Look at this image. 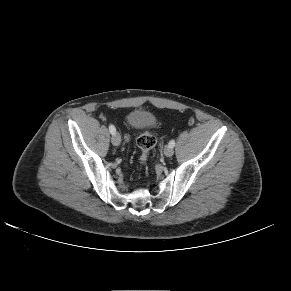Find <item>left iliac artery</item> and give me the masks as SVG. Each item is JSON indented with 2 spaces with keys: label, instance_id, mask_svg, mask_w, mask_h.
Instances as JSON below:
<instances>
[{
  "label": "left iliac artery",
  "instance_id": "obj_1",
  "mask_svg": "<svg viewBox=\"0 0 291 291\" xmlns=\"http://www.w3.org/2000/svg\"><path fill=\"white\" fill-rule=\"evenodd\" d=\"M169 146L173 148L175 146V140H171L169 142Z\"/></svg>",
  "mask_w": 291,
  "mask_h": 291
}]
</instances>
